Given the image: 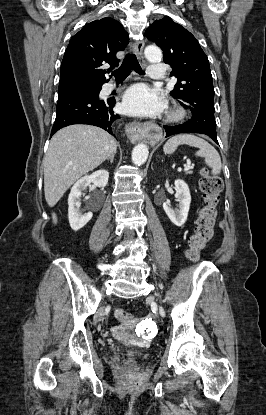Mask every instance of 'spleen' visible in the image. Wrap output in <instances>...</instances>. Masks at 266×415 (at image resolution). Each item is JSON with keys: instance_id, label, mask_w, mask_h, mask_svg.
Returning a JSON list of instances; mask_svg holds the SVG:
<instances>
[{"instance_id": "1", "label": "spleen", "mask_w": 266, "mask_h": 415, "mask_svg": "<svg viewBox=\"0 0 266 415\" xmlns=\"http://www.w3.org/2000/svg\"><path fill=\"white\" fill-rule=\"evenodd\" d=\"M181 144L197 147L196 156L203 157L206 164L212 169L213 175L221 172L222 163L217 150L204 139L191 134H180L170 138L164 145L163 150L167 154L173 153Z\"/></svg>"}]
</instances>
